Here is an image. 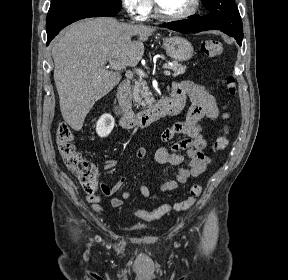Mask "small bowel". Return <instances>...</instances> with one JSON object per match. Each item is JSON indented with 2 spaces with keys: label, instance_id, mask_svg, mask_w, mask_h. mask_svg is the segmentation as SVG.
Masks as SVG:
<instances>
[{
  "label": "small bowel",
  "instance_id": "c3829d8e",
  "mask_svg": "<svg viewBox=\"0 0 288 280\" xmlns=\"http://www.w3.org/2000/svg\"><path fill=\"white\" fill-rule=\"evenodd\" d=\"M172 98L180 100L183 103L181 113L189 99V106L184 121L175 122L172 126L166 128L161 133V140L165 143L171 142L170 146L161 147L155 152V161L159 164H169L177 168V172L173 180L163 183L160 190L163 192L176 189L179 184L186 183L191 178H197L202 175L211 162V158L204 150L209 146V142L203 135V127L201 120L207 118L209 120L223 119L229 117L225 105L219 104L215 98L200 84L191 80H184L174 83L172 86ZM177 135L182 138L174 140ZM214 149V146H212ZM146 149L138 147L135 150V157L143 159L146 156ZM185 157L188 162L185 163ZM105 170H111L116 166V160L112 158L104 159ZM126 181V177L122 176L111 187L103 184L102 192L97 195L87 196V201L92 203L96 211L105 212L107 209L98 202L103 198H111L110 205L112 208H119L123 202L131 197L129 191H123L120 197H113L119 191ZM139 192L143 197H150V189L142 184L139 186Z\"/></svg>",
  "mask_w": 288,
  "mask_h": 280
}]
</instances>
